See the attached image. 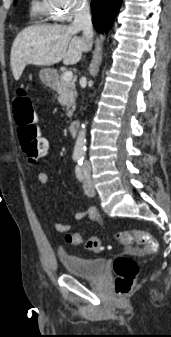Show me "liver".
<instances>
[{"label": "liver", "instance_id": "obj_1", "mask_svg": "<svg viewBox=\"0 0 171 337\" xmlns=\"http://www.w3.org/2000/svg\"><path fill=\"white\" fill-rule=\"evenodd\" d=\"M80 29L66 25H36L21 31L15 38L10 64L15 80H19L26 65L49 66L63 60L65 65L76 64L88 45L77 36Z\"/></svg>", "mask_w": 171, "mask_h": 337}]
</instances>
